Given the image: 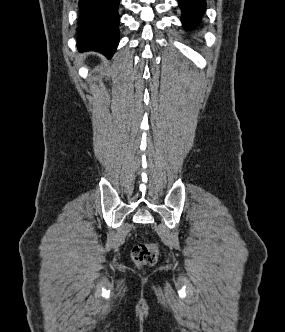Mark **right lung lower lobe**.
Here are the masks:
<instances>
[{
  "mask_svg": "<svg viewBox=\"0 0 285 332\" xmlns=\"http://www.w3.org/2000/svg\"><path fill=\"white\" fill-rule=\"evenodd\" d=\"M118 6L119 0H79L80 51L94 50L112 57L119 42Z\"/></svg>",
  "mask_w": 285,
  "mask_h": 332,
  "instance_id": "right-lung-lower-lobe-1",
  "label": "right lung lower lobe"
}]
</instances>
